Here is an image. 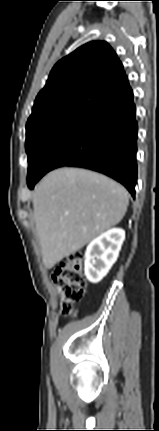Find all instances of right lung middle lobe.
Masks as SVG:
<instances>
[{"label": "right lung middle lobe", "mask_w": 159, "mask_h": 431, "mask_svg": "<svg viewBox=\"0 0 159 431\" xmlns=\"http://www.w3.org/2000/svg\"><path fill=\"white\" fill-rule=\"evenodd\" d=\"M86 118L71 113H55L27 123L25 148L29 162L28 182L39 174L53 145Z\"/></svg>", "instance_id": "right-lung-middle-lobe-1"}]
</instances>
